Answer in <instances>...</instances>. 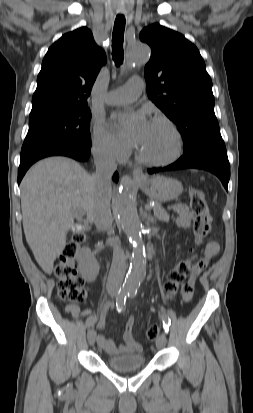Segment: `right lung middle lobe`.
<instances>
[{"instance_id":"1","label":"right lung middle lobe","mask_w":253,"mask_h":413,"mask_svg":"<svg viewBox=\"0 0 253 413\" xmlns=\"http://www.w3.org/2000/svg\"><path fill=\"white\" fill-rule=\"evenodd\" d=\"M90 119L87 105L31 112L21 154L60 145L91 147Z\"/></svg>"}]
</instances>
